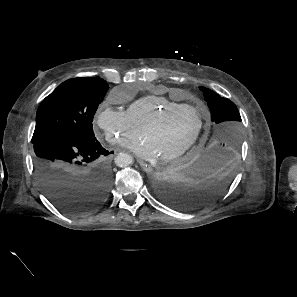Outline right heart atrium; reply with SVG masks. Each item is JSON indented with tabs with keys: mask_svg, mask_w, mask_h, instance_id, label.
I'll return each mask as SVG.
<instances>
[{
	"mask_svg": "<svg viewBox=\"0 0 297 297\" xmlns=\"http://www.w3.org/2000/svg\"><path fill=\"white\" fill-rule=\"evenodd\" d=\"M114 98L100 105L95 116L96 127L111 144L126 146L134 140L140 129L134 125L127 113L113 106Z\"/></svg>",
	"mask_w": 297,
	"mask_h": 297,
	"instance_id": "obj_1",
	"label": "right heart atrium"
}]
</instances>
